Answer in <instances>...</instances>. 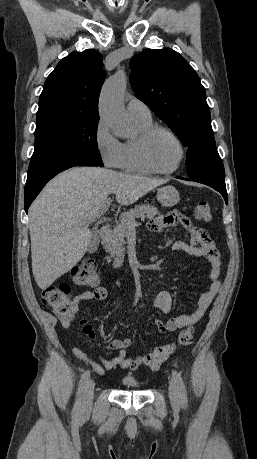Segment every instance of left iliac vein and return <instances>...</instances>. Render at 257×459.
I'll return each instance as SVG.
<instances>
[{"mask_svg": "<svg viewBox=\"0 0 257 459\" xmlns=\"http://www.w3.org/2000/svg\"><path fill=\"white\" fill-rule=\"evenodd\" d=\"M168 391H169V398H170L171 405L174 408H178L180 405L178 389H177L175 382L172 380L169 381Z\"/></svg>", "mask_w": 257, "mask_h": 459, "instance_id": "1", "label": "left iliac vein"}]
</instances>
